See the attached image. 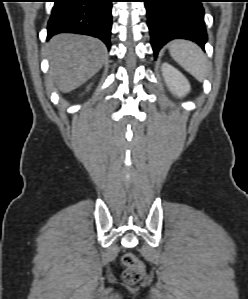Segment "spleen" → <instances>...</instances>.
Masks as SVG:
<instances>
[{"label": "spleen", "mask_w": 248, "mask_h": 299, "mask_svg": "<svg viewBox=\"0 0 248 299\" xmlns=\"http://www.w3.org/2000/svg\"><path fill=\"white\" fill-rule=\"evenodd\" d=\"M172 58L197 80L202 81L207 73V61L203 51L195 43L175 40L169 43Z\"/></svg>", "instance_id": "obj_1"}]
</instances>
